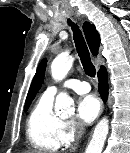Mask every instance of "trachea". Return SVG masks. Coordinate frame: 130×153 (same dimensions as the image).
I'll list each match as a JSON object with an SVG mask.
<instances>
[{
	"mask_svg": "<svg viewBox=\"0 0 130 153\" xmlns=\"http://www.w3.org/2000/svg\"><path fill=\"white\" fill-rule=\"evenodd\" d=\"M68 24L72 28L75 46H76L78 55L80 57L82 66L84 68V71L88 76L94 78L96 75V69L91 61L90 53L86 45V42L84 40V37L82 35V32L80 31L77 24L73 23L72 21L68 20Z\"/></svg>",
	"mask_w": 130,
	"mask_h": 153,
	"instance_id": "1",
	"label": "trachea"
}]
</instances>
